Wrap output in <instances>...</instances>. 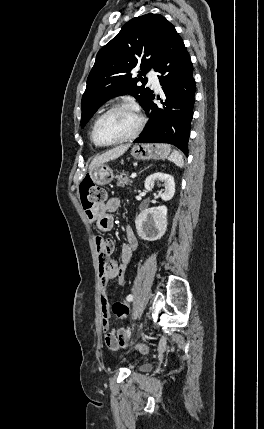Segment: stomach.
Masks as SVG:
<instances>
[{"mask_svg":"<svg viewBox=\"0 0 264 429\" xmlns=\"http://www.w3.org/2000/svg\"><path fill=\"white\" fill-rule=\"evenodd\" d=\"M171 152V147L168 144H137L131 149V155L137 160H159L165 159ZM90 179L98 185L109 183L114 175L113 170L105 163L99 164L91 168L88 172Z\"/></svg>","mask_w":264,"mask_h":429,"instance_id":"stomach-1","label":"stomach"}]
</instances>
